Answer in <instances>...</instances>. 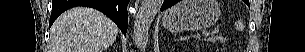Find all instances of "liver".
<instances>
[{
    "instance_id": "6515ba94",
    "label": "liver",
    "mask_w": 305,
    "mask_h": 52,
    "mask_svg": "<svg viewBox=\"0 0 305 52\" xmlns=\"http://www.w3.org/2000/svg\"><path fill=\"white\" fill-rule=\"evenodd\" d=\"M119 29L106 15L89 7L64 12L50 30L49 52H103Z\"/></svg>"
}]
</instances>
